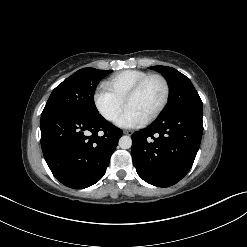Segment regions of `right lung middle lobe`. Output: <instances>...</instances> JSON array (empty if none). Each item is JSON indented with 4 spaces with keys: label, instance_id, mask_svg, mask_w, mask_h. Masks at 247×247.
<instances>
[{
    "label": "right lung middle lobe",
    "instance_id": "right-lung-middle-lobe-1",
    "mask_svg": "<svg viewBox=\"0 0 247 247\" xmlns=\"http://www.w3.org/2000/svg\"><path fill=\"white\" fill-rule=\"evenodd\" d=\"M111 72L94 68L78 70L52 91L42 114L57 110L87 116L99 114L94 103V91L98 82Z\"/></svg>",
    "mask_w": 247,
    "mask_h": 247
}]
</instances>
